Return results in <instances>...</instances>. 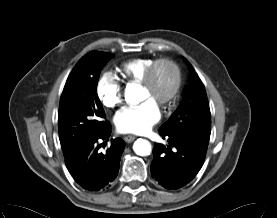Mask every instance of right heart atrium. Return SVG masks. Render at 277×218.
Listing matches in <instances>:
<instances>
[{
    "label": "right heart atrium",
    "mask_w": 277,
    "mask_h": 218,
    "mask_svg": "<svg viewBox=\"0 0 277 218\" xmlns=\"http://www.w3.org/2000/svg\"><path fill=\"white\" fill-rule=\"evenodd\" d=\"M97 93L103 104L107 107L116 106L123 99L121 84L108 73H104L99 77Z\"/></svg>",
    "instance_id": "right-heart-atrium-1"
}]
</instances>
